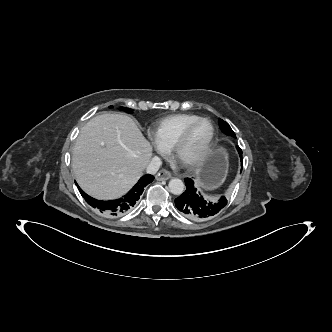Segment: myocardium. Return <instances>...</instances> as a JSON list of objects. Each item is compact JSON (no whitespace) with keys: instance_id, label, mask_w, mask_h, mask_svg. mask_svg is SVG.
Returning <instances> with one entry per match:
<instances>
[{"instance_id":"myocardium-1","label":"myocardium","mask_w":332,"mask_h":332,"mask_svg":"<svg viewBox=\"0 0 332 332\" xmlns=\"http://www.w3.org/2000/svg\"><path fill=\"white\" fill-rule=\"evenodd\" d=\"M200 122H208L210 124V127H211L210 137L207 140L206 144L203 146V148L198 152V154L196 156H194L192 159H190L188 161H181L179 159L181 148L184 145V143L186 142V140H187L189 134L191 133V131L193 130V128ZM215 137H216V129H215L213 122L209 118L199 117L198 119L194 120L189 125H187L185 127V129L182 131V133L179 135V137L177 138L176 142L174 143V145L171 149L172 156L183 167H185L187 169H194L202 163V161L205 159L207 154L210 152L211 148L213 147Z\"/></svg>"}]
</instances>
